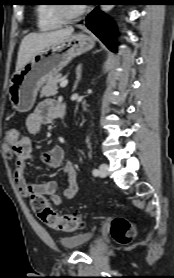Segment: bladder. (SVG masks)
Here are the masks:
<instances>
[{"mask_svg":"<svg viewBox=\"0 0 174 278\" xmlns=\"http://www.w3.org/2000/svg\"><path fill=\"white\" fill-rule=\"evenodd\" d=\"M95 239L93 231L78 233L64 237L60 240L63 247L67 249H75L91 243Z\"/></svg>","mask_w":174,"mask_h":278,"instance_id":"1","label":"bladder"}]
</instances>
